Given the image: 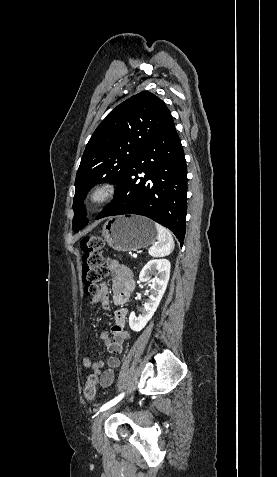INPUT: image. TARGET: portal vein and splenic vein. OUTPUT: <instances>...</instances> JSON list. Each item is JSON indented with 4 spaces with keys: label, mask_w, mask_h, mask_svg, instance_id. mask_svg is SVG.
Returning a JSON list of instances; mask_svg holds the SVG:
<instances>
[{
    "label": "portal vein and splenic vein",
    "mask_w": 277,
    "mask_h": 477,
    "mask_svg": "<svg viewBox=\"0 0 277 477\" xmlns=\"http://www.w3.org/2000/svg\"><path fill=\"white\" fill-rule=\"evenodd\" d=\"M133 257H134V258H137V254H133Z\"/></svg>",
    "instance_id": "obj_1"
}]
</instances>
